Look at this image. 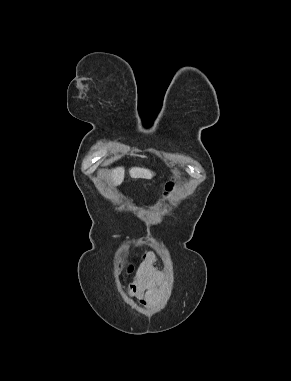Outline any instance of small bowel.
<instances>
[{"label":"small bowel","mask_w":291,"mask_h":381,"mask_svg":"<svg viewBox=\"0 0 291 381\" xmlns=\"http://www.w3.org/2000/svg\"><path fill=\"white\" fill-rule=\"evenodd\" d=\"M156 255L153 251L147 252L139 266L134 280L128 285V294L144 307L155 306L163 291L165 275L155 268Z\"/></svg>","instance_id":"c3829d8e"}]
</instances>
